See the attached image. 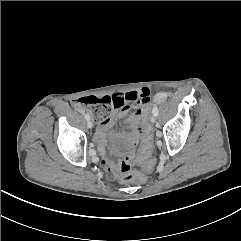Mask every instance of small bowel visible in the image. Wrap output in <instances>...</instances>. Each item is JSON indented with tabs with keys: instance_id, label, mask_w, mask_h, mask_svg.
<instances>
[{
	"instance_id": "obj_1",
	"label": "small bowel",
	"mask_w": 241,
	"mask_h": 241,
	"mask_svg": "<svg viewBox=\"0 0 241 241\" xmlns=\"http://www.w3.org/2000/svg\"><path fill=\"white\" fill-rule=\"evenodd\" d=\"M151 94L152 91L148 86L141 85L137 88V90L126 93H116L110 97V99L114 102L115 110H119V116L129 130V133L132 135H139L142 137V119L145 115V107L149 106L152 102L150 97ZM161 97L162 95L156 96V101H160ZM112 123V118L100 123L95 132L94 139L101 155L104 158L103 164L107 175L110 178H115L116 169L114 165L105 159V131L112 125ZM95 161H97V159H95Z\"/></svg>"
}]
</instances>
